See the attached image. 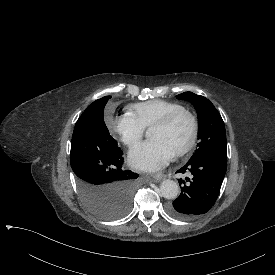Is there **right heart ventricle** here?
<instances>
[{
	"mask_svg": "<svg viewBox=\"0 0 275 275\" xmlns=\"http://www.w3.org/2000/svg\"><path fill=\"white\" fill-rule=\"evenodd\" d=\"M127 109L128 114L133 116L144 128H149L165 116L183 110L184 107L175 102L154 99L130 105Z\"/></svg>",
	"mask_w": 275,
	"mask_h": 275,
	"instance_id": "1",
	"label": "right heart ventricle"
}]
</instances>
